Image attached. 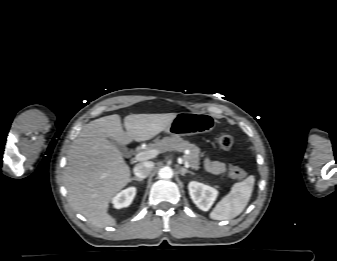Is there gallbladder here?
Here are the masks:
<instances>
[{
    "label": "gallbladder",
    "instance_id": "bac80fb5",
    "mask_svg": "<svg viewBox=\"0 0 337 261\" xmlns=\"http://www.w3.org/2000/svg\"><path fill=\"white\" fill-rule=\"evenodd\" d=\"M110 141H111L112 144H114L120 150V152L122 153L123 156H127L128 155V149H127L126 146L120 145V144H118L116 141H114L112 139Z\"/></svg>",
    "mask_w": 337,
    "mask_h": 261
}]
</instances>
